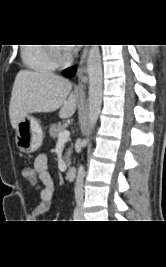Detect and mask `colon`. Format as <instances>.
<instances>
[{
  "label": "colon",
  "instance_id": "1",
  "mask_svg": "<svg viewBox=\"0 0 166 267\" xmlns=\"http://www.w3.org/2000/svg\"><path fill=\"white\" fill-rule=\"evenodd\" d=\"M22 178H25V182H38V177H35L34 169L30 167L23 169Z\"/></svg>",
  "mask_w": 166,
  "mask_h": 267
}]
</instances>
